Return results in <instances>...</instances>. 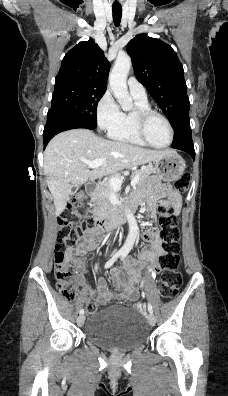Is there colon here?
Instances as JSON below:
<instances>
[{
  "label": "colon",
  "instance_id": "obj_1",
  "mask_svg": "<svg viewBox=\"0 0 228 396\" xmlns=\"http://www.w3.org/2000/svg\"><path fill=\"white\" fill-rule=\"evenodd\" d=\"M191 176L183 173L173 184V190L177 193L185 194L189 190ZM88 198L85 194L79 193L69 202L65 215L59 223V234L63 243L72 247L78 244L82 238V233L90 228L91 219H80L78 208L85 207ZM159 237L161 240L162 254L159 257V266L163 271L160 279L159 292L165 299L174 298L181 286L182 278L178 272V239L179 231L176 226V217L173 208L160 205L158 208ZM54 274L56 285L62 296L67 300H73L77 294V278L73 265L67 260L65 252L61 246L56 245ZM99 304L92 301L87 304L88 315L97 313Z\"/></svg>",
  "mask_w": 228,
  "mask_h": 396
}]
</instances>
